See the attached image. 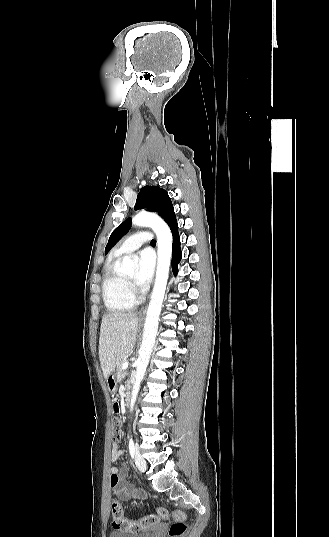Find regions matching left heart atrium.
Returning <instances> with one entry per match:
<instances>
[{
  "label": "left heart atrium",
  "mask_w": 329,
  "mask_h": 537,
  "mask_svg": "<svg viewBox=\"0 0 329 537\" xmlns=\"http://www.w3.org/2000/svg\"><path fill=\"white\" fill-rule=\"evenodd\" d=\"M154 256L149 250H142L138 255V269L135 276V284L139 289H145L153 275Z\"/></svg>",
  "instance_id": "left-heart-atrium-1"
}]
</instances>
